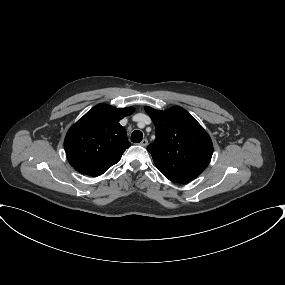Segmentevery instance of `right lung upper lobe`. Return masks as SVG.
I'll use <instances>...</instances> for the list:
<instances>
[{"instance_id": "cb5924a9", "label": "right lung upper lobe", "mask_w": 285, "mask_h": 285, "mask_svg": "<svg viewBox=\"0 0 285 285\" xmlns=\"http://www.w3.org/2000/svg\"><path fill=\"white\" fill-rule=\"evenodd\" d=\"M134 109L98 104L67 132L64 149L70 165L78 172L99 176L116 164L131 145L119 121Z\"/></svg>"}]
</instances>
